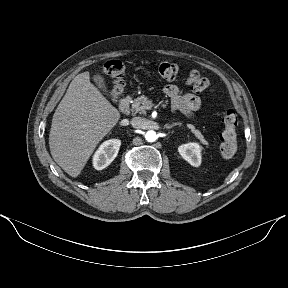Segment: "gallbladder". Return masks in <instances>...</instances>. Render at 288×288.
<instances>
[{"mask_svg": "<svg viewBox=\"0 0 288 288\" xmlns=\"http://www.w3.org/2000/svg\"><path fill=\"white\" fill-rule=\"evenodd\" d=\"M93 80L95 83L105 87V81H104V77L102 75H100V74L94 75Z\"/></svg>", "mask_w": 288, "mask_h": 288, "instance_id": "bac80fb5", "label": "gallbladder"}]
</instances>
